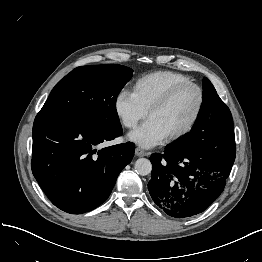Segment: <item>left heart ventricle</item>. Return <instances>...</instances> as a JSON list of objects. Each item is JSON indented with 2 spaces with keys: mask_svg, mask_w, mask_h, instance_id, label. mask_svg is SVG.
Here are the masks:
<instances>
[{
  "mask_svg": "<svg viewBox=\"0 0 262 262\" xmlns=\"http://www.w3.org/2000/svg\"><path fill=\"white\" fill-rule=\"evenodd\" d=\"M198 103L197 92L187 88L178 93L164 108L153 112V119L167 136L184 128L192 118Z\"/></svg>",
  "mask_w": 262,
  "mask_h": 262,
  "instance_id": "obj_1",
  "label": "left heart ventricle"
}]
</instances>
